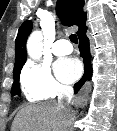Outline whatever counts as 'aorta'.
I'll use <instances>...</instances> for the list:
<instances>
[{
    "mask_svg": "<svg viewBox=\"0 0 117 131\" xmlns=\"http://www.w3.org/2000/svg\"><path fill=\"white\" fill-rule=\"evenodd\" d=\"M43 47V36L40 31H34L28 38L27 41V53L34 59L38 60L41 58Z\"/></svg>",
    "mask_w": 117,
    "mask_h": 131,
    "instance_id": "aorta-1",
    "label": "aorta"
}]
</instances>
